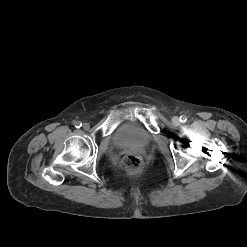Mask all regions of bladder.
Here are the masks:
<instances>
[{
    "instance_id": "bladder-1",
    "label": "bladder",
    "mask_w": 247,
    "mask_h": 247,
    "mask_svg": "<svg viewBox=\"0 0 247 247\" xmlns=\"http://www.w3.org/2000/svg\"><path fill=\"white\" fill-rule=\"evenodd\" d=\"M150 134L134 122L123 123L114 133L113 141L120 147L142 148L149 144Z\"/></svg>"
}]
</instances>
